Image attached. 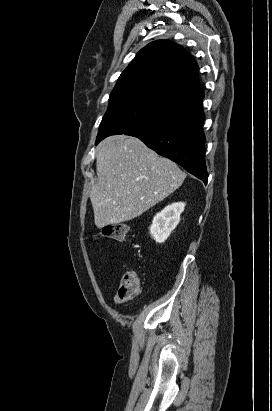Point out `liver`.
Wrapping results in <instances>:
<instances>
[{
	"mask_svg": "<svg viewBox=\"0 0 272 411\" xmlns=\"http://www.w3.org/2000/svg\"><path fill=\"white\" fill-rule=\"evenodd\" d=\"M96 171L90 200L98 228L140 216L179 188L186 177L176 163L127 135L101 142Z\"/></svg>",
	"mask_w": 272,
	"mask_h": 411,
	"instance_id": "1",
	"label": "liver"
}]
</instances>
